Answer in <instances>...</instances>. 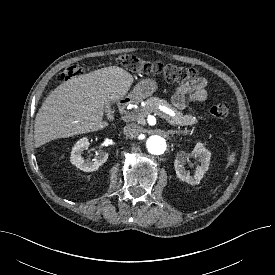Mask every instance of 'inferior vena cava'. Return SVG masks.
Returning <instances> with one entry per match:
<instances>
[{"instance_id": "inferior-vena-cava-1", "label": "inferior vena cava", "mask_w": 275, "mask_h": 275, "mask_svg": "<svg viewBox=\"0 0 275 275\" xmlns=\"http://www.w3.org/2000/svg\"><path fill=\"white\" fill-rule=\"evenodd\" d=\"M141 128L137 124H127L124 127L123 133L130 138H136L141 133Z\"/></svg>"}]
</instances>
